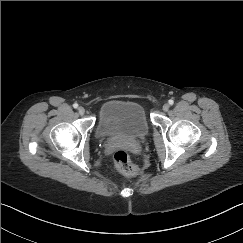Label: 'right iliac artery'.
Listing matches in <instances>:
<instances>
[{
	"instance_id": "obj_1",
	"label": "right iliac artery",
	"mask_w": 243,
	"mask_h": 243,
	"mask_svg": "<svg viewBox=\"0 0 243 243\" xmlns=\"http://www.w3.org/2000/svg\"><path fill=\"white\" fill-rule=\"evenodd\" d=\"M73 107H74V108H77V107H78V104H77V103H74V104H73Z\"/></svg>"
}]
</instances>
